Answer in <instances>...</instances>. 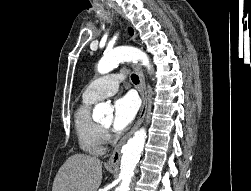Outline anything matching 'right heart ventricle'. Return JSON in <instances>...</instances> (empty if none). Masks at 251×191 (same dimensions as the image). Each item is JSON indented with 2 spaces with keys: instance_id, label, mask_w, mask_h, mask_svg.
Here are the masks:
<instances>
[{
  "instance_id": "right-heart-ventricle-1",
  "label": "right heart ventricle",
  "mask_w": 251,
  "mask_h": 191,
  "mask_svg": "<svg viewBox=\"0 0 251 191\" xmlns=\"http://www.w3.org/2000/svg\"><path fill=\"white\" fill-rule=\"evenodd\" d=\"M94 101L82 98L75 110L74 127L80 150L93 156H101L106 151L105 131L90 116V104Z\"/></svg>"
}]
</instances>
